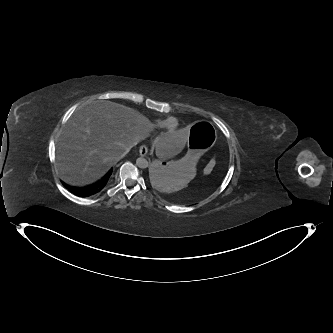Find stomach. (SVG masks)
I'll return each mask as SVG.
<instances>
[{
    "label": "stomach",
    "instance_id": "0dacf381",
    "mask_svg": "<svg viewBox=\"0 0 333 333\" xmlns=\"http://www.w3.org/2000/svg\"><path fill=\"white\" fill-rule=\"evenodd\" d=\"M190 132L188 153L182 159L167 161L158 158L149 170L151 184L163 193H176L190 184L198 160L216 143V131L209 122H196Z\"/></svg>",
    "mask_w": 333,
    "mask_h": 333
}]
</instances>
